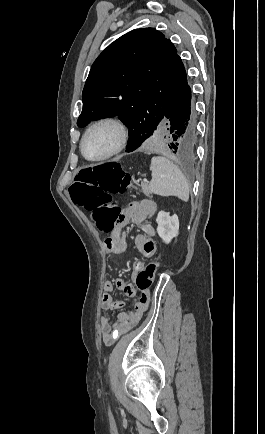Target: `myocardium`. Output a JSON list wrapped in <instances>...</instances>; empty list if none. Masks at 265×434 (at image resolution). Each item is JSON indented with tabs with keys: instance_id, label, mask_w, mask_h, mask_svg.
Instances as JSON below:
<instances>
[{
	"instance_id": "1",
	"label": "myocardium",
	"mask_w": 265,
	"mask_h": 434,
	"mask_svg": "<svg viewBox=\"0 0 265 434\" xmlns=\"http://www.w3.org/2000/svg\"><path fill=\"white\" fill-rule=\"evenodd\" d=\"M103 126H111L115 129L117 134L116 144L106 155L98 158H89L84 154L83 151L84 142L91 132ZM128 139H129V128L121 118L116 116L101 117L96 121H94L92 124H90L88 128L85 130L79 142V153L86 161L90 163H95V164L103 163L111 159L118 153H120L126 147Z\"/></svg>"
}]
</instances>
